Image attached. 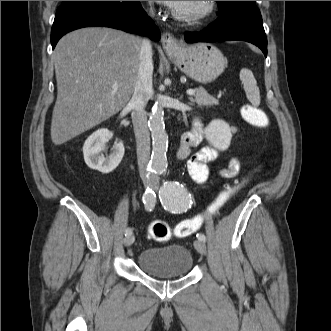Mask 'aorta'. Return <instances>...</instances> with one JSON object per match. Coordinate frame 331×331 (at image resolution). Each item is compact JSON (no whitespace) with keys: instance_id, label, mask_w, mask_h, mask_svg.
<instances>
[{"instance_id":"aorta-1","label":"aorta","mask_w":331,"mask_h":331,"mask_svg":"<svg viewBox=\"0 0 331 331\" xmlns=\"http://www.w3.org/2000/svg\"><path fill=\"white\" fill-rule=\"evenodd\" d=\"M148 126L152 136L151 169L163 172L167 168L168 135L165 131L164 111L161 103H156L150 113Z\"/></svg>"}]
</instances>
